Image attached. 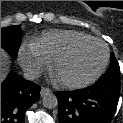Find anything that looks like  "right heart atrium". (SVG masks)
<instances>
[{
    "mask_svg": "<svg viewBox=\"0 0 123 123\" xmlns=\"http://www.w3.org/2000/svg\"><path fill=\"white\" fill-rule=\"evenodd\" d=\"M20 64L30 78L38 77L48 66L50 61L32 47H22L19 52Z\"/></svg>",
    "mask_w": 123,
    "mask_h": 123,
    "instance_id": "1",
    "label": "right heart atrium"
}]
</instances>
